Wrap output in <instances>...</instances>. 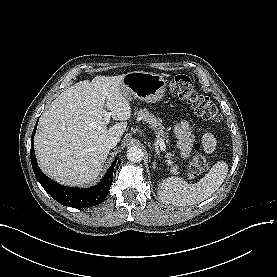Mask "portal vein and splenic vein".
Returning <instances> with one entry per match:
<instances>
[{"label": "portal vein and splenic vein", "instance_id": "obj_1", "mask_svg": "<svg viewBox=\"0 0 277 277\" xmlns=\"http://www.w3.org/2000/svg\"><path fill=\"white\" fill-rule=\"evenodd\" d=\"M110 116H111V113H109L107 111H104V117H105L104 119H105L106 124L109 123ZM157 142L160 146L161 151H165L166 150V145H165L164 141L159 136H157Z\"/></svg>", "mask_w": 277, "mask_h": 277}]
</instances>
